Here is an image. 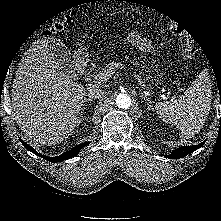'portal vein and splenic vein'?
Wrapping results in <instances>:
<instances>
[{"label":"portal vein and splenic vein","mask_w":221,"mask_h":221,"mask_svg":"<svg viewBox=\"0 0 221 221\" xmlns=\"http://www.w3.org/2000/svg\"><path fill=\"white\" fill-rule=\"evenodd\" d=\"M116 67L123 68L122 65L117 64ZM115 73V68L112 69H106L103 72L97 74L94 77V82L100 84L101 82L107 81L111 75ZM135 79L139 82V84L142 86V88L146 89L147 86L144 84V82L141 80L140 76L136 73H133Z\"/></svg>","instance_id":"18ae733b"}]
</instances>
